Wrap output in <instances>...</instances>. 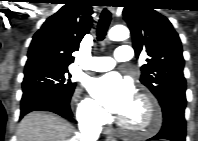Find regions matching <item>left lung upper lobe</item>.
<instances>
[{
  "label": "left lung upper lobe",
  "instance_id": "1",
  "mask_svg": "<svg viewBox=\"0 0 198 141\" xmlns=\"http://www.w3.org/2000/svg\"><path fill=\"white\" fill-rule=\"evenodd\" d=\"M153 5L149 0H130L124 7L123 16L132 34L136 56L142 51L150 56L141 68L140 81L163 105L171 99H186L184 59L178 34Z\"/></svg>",
  "mask_w": 198,
  "mask_h": 141
}]
</instances>
